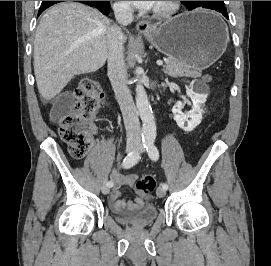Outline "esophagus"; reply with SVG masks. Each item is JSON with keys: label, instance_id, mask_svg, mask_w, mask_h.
Wrapping results in <instances>:
<instances>
[{"label": "esophagus", "instance_id": "34e87169", "mask_svg": "<svg viewBox=\"0 0 271 266\" xmlns=\"http://www.w3.org/2000/svg\"><path fill=\"white\" fill-rule=\"evenodd\" d=\"M137 30L141 33H148L153 30L152 24L149 21H140L137 23Z\"/></svg>", "mask_w": 271, "mask_h": 266}]
</instances>
